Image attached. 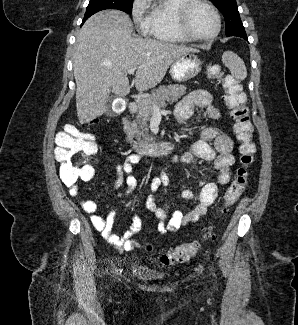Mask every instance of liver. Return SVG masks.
Returning a JSON list of instances; mask_svg holds the SVG:
<instances>
[{
  "label": "liver",
  "mask_w": 298,
  "mask_h": 325,
  "mask_svg": "<svg viewBox=\"0 0 298 325\" xmlns=\"http://www.w3.org/2000/svg\"><path fill=\"white\" fill-rule=\"evenodd\" d=\"M132 22L122 10H100L84 22L74 46L76 108L80 124L106 110L110 92H130L129 68H137L136 90H149L163 80L170 64L186 54L199 52L186 44L132 36Z\"/></svg>",
  "instance_id": "6515ba94"
}]
</instances>
